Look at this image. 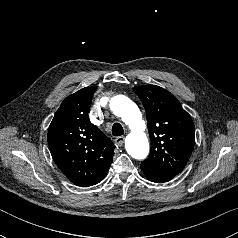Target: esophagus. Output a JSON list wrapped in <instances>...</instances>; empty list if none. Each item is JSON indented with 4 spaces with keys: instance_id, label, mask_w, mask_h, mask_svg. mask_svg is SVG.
<instances>
[{
    "instance_id": "obj_1",
    "label": "esophagus",
    "mask_w": 238,
    "mask_h": 238,
    "mask_svg": "<svg viewBox=\"0 0 238 238\" xmlns=\"http://www.w3.org/2000/svg\"><path fill=\"white\" fill-rule=\"evenodd\" d=\"M124 137L123 136H118L115 138L114 142L117 147H121L124 143Z\"/></svg>"
}]
</instances>
